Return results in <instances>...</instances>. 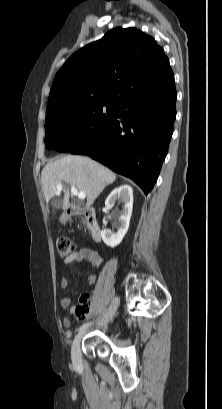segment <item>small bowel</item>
Here are the masks:
<instances>
[{"label": "small bowel", "instance_id": "small-bowel-1", "mask_svg": "<svg viewBox=\"0 0 222 409\" xmlns=\"http://www.w3.org/2000/svg\"><path fill=\"white\" fill-rule=\"evenodd\" d=\"M71 262L86 263V264L91 265L93 268H98L102 263V259L94 250L89 249V248H82L79 251L75 252L72 256H70L66 260V263H71ZM96 279L97 277L95 274H90L87 277V282L89 285H93L95 284ZM68 286H69L68 278L66 277L62 278L61 287L63 289H66ZM60 305L63 309L71 308L72 311L74 310V307H71V299L68 296H63L60 299ZM63 325L67 329L65 332V337L70 338L72 335V332L69 329L72 325L71 320L68 317H65L63 319Z\"/></svg>", "mask_w": 222, "mask_h": 409}]
</instances>
